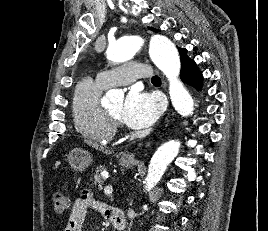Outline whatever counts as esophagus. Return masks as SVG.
<instances>
[{
    "instance_id": "obj_1",
    "label": "esophagus",
    "mask_w": 268,
    "mask_h": 231,
    "mask_svg": "<svg viewBox=\"0 0 268 231\" xmlns=\"http://www.w3.org/2000/svg\"><path fill=\"white\" fill-rule=\"evenodd\" d=\"M149 144H147L148 146ZM122 160H125V161H134L135 160V154L133 152H125L123 153L122 155Z\"/></svg>"
}]
</instances>
